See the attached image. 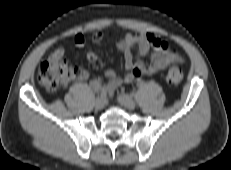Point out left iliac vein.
<instances>
[{
  "label": "left iliac vein",
  "instance_id": "left-iliac-vein-1",
  "mask_svg": "<svg viewBox=\"0 0 231 170\" xmlns=\"http://www.w3.org/2000/svg\"><path fill=\"white\" fill-rule=\"evenodd\" d=\"M118 102L129 110H134L136 108L135 101L127 94H121L117 97Z\"/></svg>",
  "mask_w": 231,
  "mask_h": 170
}]
</instances>
